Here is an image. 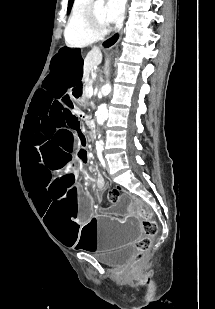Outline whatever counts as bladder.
I'll return each mask as SVG.
<instances>
[{
    "label": "bladder",
    "instance_id": "obj_1",
    "mask_svg": "<svg viewBox=\"0 0 215 309\" xmlns=\"http://www.w3.org/2000/svg\"><path fill=\"white\" fill-rule=\"evenodd\" d=\"M136 254V249L133 246H125L118 251L97 255V260L109 267H121L132 260Z\"/></svg>",
    "mask_w": 215,
    "mask_h": 309
}]
</instances>
